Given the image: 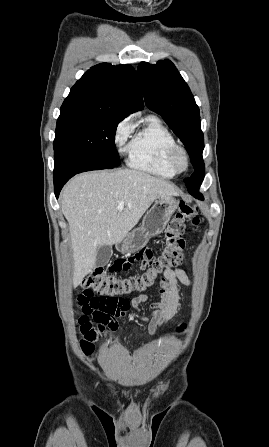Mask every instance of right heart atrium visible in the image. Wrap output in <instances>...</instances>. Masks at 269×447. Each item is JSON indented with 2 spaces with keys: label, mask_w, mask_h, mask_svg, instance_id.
I'll list each match as a JSON object with an SVG mask.
<instances>
[{
  "label": "right heart atrium",
  "mask_w": 269,
  "mask_h": 447,
  "mask_svg": "<svg viewBox=\"0 0 269 447\" xmlns=\"http://www.w3.org/2000/svg\"><path fill=\"white\" fill-rule=\"evenodd\" d=\"M133 128L134 126L130 117H125L117 123L114 130L113 141L119 152H122L123 145L133 131Z\"/></svg>",
  "instance_id": "right-heart-atrium-1"
}]
</instances>
